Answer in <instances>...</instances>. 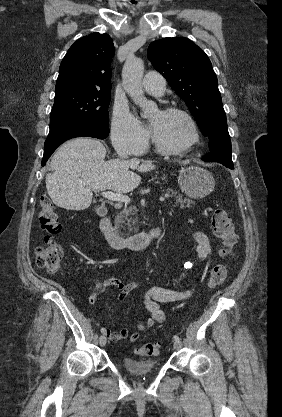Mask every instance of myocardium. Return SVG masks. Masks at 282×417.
Returning <instances> with one entry per match:
<instances>
[{
    "label": "myocardium",
    "instance_id": "f54148a6",
    "mask_svg": "<svg viewBox=\"0 0 282 417\" xmlns=\"http://www.w3.org/2000/svg\"><path fill=\"white\" fill-rule=\"evenodd\" d=\"M161 112L165 113V114L178 115V116L182 117L185 120V122L187 123L188 128L190 130V138L184 144L171 146V145H167V144L163 143L158 138V136L156 135L154 130L151 129L152 140H153L154 144L159 149H161L165 152L178 153V152L185 151V150L191 148L192 146H194L195 144L198 143L199 133H198L196 123L194 122L193 118L187 112H185L183 110H180V109H177V108H173V107L165 108V109L161 110Z\"/></svg>",
    "mask_w": 282,
    "mask_h": 417
}]
</instances>
